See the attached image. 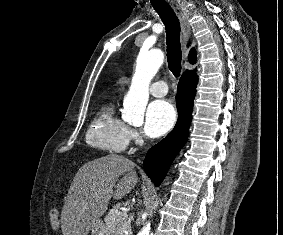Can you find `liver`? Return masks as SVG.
Listing matches in <instances>:
<instances>
[{
    "instance_id": "1",
    "label": "liver",
    "mask_w": 283,
    "mask_h": 235,
    "mask_svg": "<svg viewBox=\"0 0 283 235\" xmlns=\"http://www.w3.org/2000/svg\"><path fill=\"white\" fill-rule=\"evenodd\" d=\"M134 167L133 161L117 154L85 163L76 173L62 209L63 235H88L112 196L121 199L135 187L138 176Z\"/></svg>"
}]
</instances>
